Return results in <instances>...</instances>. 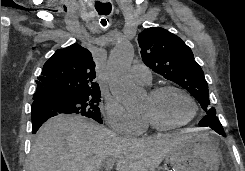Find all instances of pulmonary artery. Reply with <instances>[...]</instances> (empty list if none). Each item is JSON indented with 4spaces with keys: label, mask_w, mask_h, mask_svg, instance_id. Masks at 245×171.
Returning a JSON list of instances; mask_svg holds the SVG:
<instances>
[{
    "label": "pulmonary artery",
    "mask_w": 245,
    "mask_h": 171,
    "mask_svg": "<svg viewBox=\"0 0 245 171\" xmlns=\"http://www.w3.org/2000/svg\"><path fill=\"white\" fill-rule=\"evenodd\" d=\"M131 79L141 85H149L152 80L150 69L140 63H135L130 69Z\"/></svg>",
    "instance_id": "e3ab8cb5"
}]
</instances>
